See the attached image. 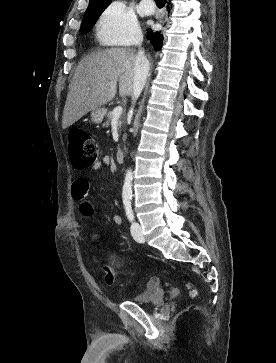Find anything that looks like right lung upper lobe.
I'll list each match as a JSON object with an SVG mask.
<instances>
[{
	"label": "right lung upper lobe",
	"mask_w": 276,
	"mask_h": 363,
	"mask_svg": "<svg viewBox=\"0 0 276 363\" xmlns=\"http://www.w3.org/2000/svg\"><path fill=\"white\" fill-rule=\"evenodd\" d=\"M111 0H90L89 5L91 4H109Z\"/></svg>",
	"instance_id": "cb5924a9"
}]
</instances>
